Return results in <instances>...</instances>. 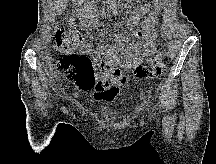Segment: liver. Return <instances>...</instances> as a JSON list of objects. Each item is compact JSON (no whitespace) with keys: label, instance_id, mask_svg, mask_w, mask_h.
I'll use <instances>...</instances> for the list:
<instances>
[{"label":"liver","instance_id":"obj_1","mask_svg":"<svg viewBox=\"0 0 216 164\" xmlns=\"http://www.w3.org/2000/svg\"><path fill=\"white\" fill-rule=\"evenodd\" d=\"M61 2H63V1H66V0H60ZM61 6H63V5H61Z\"/></svg>","mask_w":216,"mask_h":164}]
</instances>
